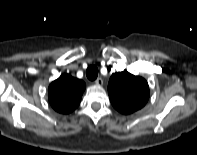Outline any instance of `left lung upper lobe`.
Masks as SVG:
<instances>
[{
    "instance_id": "obj_1",
    "label": "left lung upper lobe",
    "mask_w": 197,
    "mask_h": 155,
    "mask_svg": "<svg viewBox=\"0 0 197 155\" xmlns=\"http://www.w3.org/2000/svg\"><path fill=\"white\" fill-rule=\"evenodd\" d=\"M108 93L113 107L123 114H130L141 109L150 95L147 81L126 70L111 76Z\"/></svg>"
}]
</instances>
